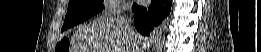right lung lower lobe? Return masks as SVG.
I'll list each match as a JSON object with an SVG mask.
<instances>
[{"mask_svg": "<svg viewBox=\"0 0 261 52\" xmlns=\"http://www.w3.org/2000/svg\"><path fill=\"white\" fill-rule=\"evenodd\" d=\"M132 10L134 12V25L136 29L143 35L148 36L169 15L171 0H152L148 8L134 4Z\"/></svg>", "mask_w": 261, "mask_h": 52, "instance_id": "right-lung-lower-lobe-1", "label": "right lung lower lobe"}]
</instances>
